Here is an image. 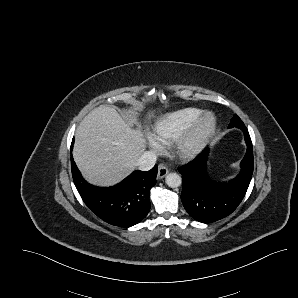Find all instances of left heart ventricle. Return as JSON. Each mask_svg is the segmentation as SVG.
<instances>
[{
	"instance_id": "1",
	"label": "left heart ventricle",
	"mask_w": 298,
	"mask_h": 298,
	"mask_svg": "<svg viewBox=\"0 0 298 298\" xmlns=\"http://www.w3.org/2000/svg\"><path fill=\"white\" fill-rule=\"evenodd\" d=\"M210 128V122L209 120H204L198 128V135H203L205 134Z\"/></svg>"
}]
</instances>
